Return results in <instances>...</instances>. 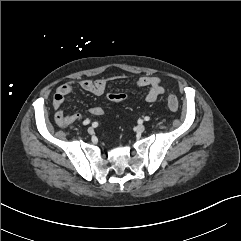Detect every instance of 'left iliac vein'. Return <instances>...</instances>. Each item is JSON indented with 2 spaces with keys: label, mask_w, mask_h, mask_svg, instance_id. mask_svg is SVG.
<instances>
[{
  "label": "left iliac vein",
  "mask_w": 241,
  "mask_h": 241,
  "mask_svg": "<svg viewBox=\"0 0 241 241\" xmlns=\"http://www.w3.org/2000/svg\"><path fill=\"white\" fill-rule=\"evenodd\" d=\"M136 130H137V132L142 133V132L145 131V126L142 125V124H139V125L136 127Z\"/></svg>",
  "instance_id": "4c4485c4"
}]
</instances>
